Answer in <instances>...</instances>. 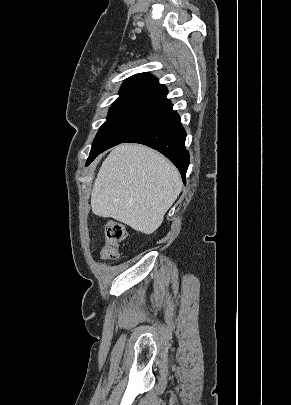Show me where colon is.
Wrapping results in <instances>:
<instances>
[{
    "mask_svg": "<svg viewBox=\"0 0 291 405\" xmlns=\"http://www.w3.org/2000/svg\"><path fill=\"white\" fill-rule=\"evenodd\" d=\"M127 231L123 224L109 221L105 225V245L101 251L103 260H116L119 255V246L126 238Z\"/></svg>",
    "mask_w": 291,
    "mask_h": 405,
    "instance_id": "colon-1",
    "label": "colon"
}]
</instances>
